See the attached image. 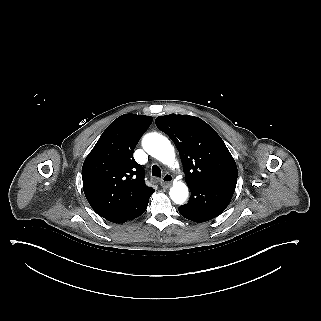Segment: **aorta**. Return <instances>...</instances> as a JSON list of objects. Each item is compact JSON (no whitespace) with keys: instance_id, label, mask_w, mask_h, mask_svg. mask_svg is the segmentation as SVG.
<instances>
[{"instance_id":"762f6f07","label":"aorta","mask_w":321,"mask_h":321,"mask_svg":"<svg viewBox=\"0 0 321 321\" xmlns=\"http://www.w3.org/2000/svg\"><path fill=\"white\" fill-rule=\"evenodd\" d=\"M144 150L163 164L176 168L179 166L170 141L159 133H149L142 140ZM169 196L175 204H183L188 197V188L183 182H174Z\"/></svg>"}]
</instances>
